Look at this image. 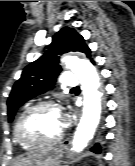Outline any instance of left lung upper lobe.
I'll return each instance as SVG.
<instances>
[{
    "instance_id": "5c2ea615",
    "label": "left lung upper lobe",
    "mask_w": 135,
    "mask_h": 166,
    "mask_svg": "<svg viewBox=\"0 0 135 166\" xmlns=\"http://www.w3.org/2000/svg\"><path fill=\"white\" fill-rule=\"evenodd\" d=\"M78 51L91 57L90 49L83 37L73 28L64 27L52 37L46 53L30 63L14 84L7 105L9 122L13 121L17 109L26 101L51 89L61 71L59 55Z\"/></svg>"
}]
</instances>
